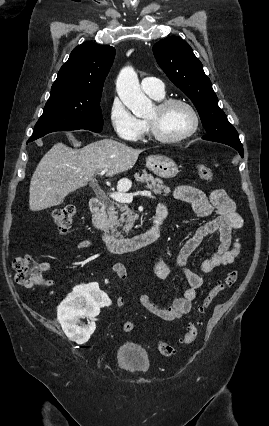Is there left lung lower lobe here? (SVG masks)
<instances>
[{
  "mask_svg": "<svg viewBox=\"0 0 269 426\" xmlns=\"http://www.w3.org/2000/svg\"><path fill=\"white\" fill-rule=\"evenodd\" d=\"M203 139L207 140L205 137H203ZM220 143H223V144H226V145L233 147L234 149H236L240 153L241 157L244 156V150H243V146H242L241 142L222 141Z\"/></svg>",
  "mask_w": 269,
  "mask_h": 426,
  "instance_id": "0a47b994",
  "label": "left lung lower lobe"
}]
</instances>
